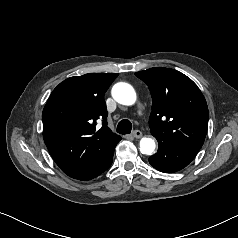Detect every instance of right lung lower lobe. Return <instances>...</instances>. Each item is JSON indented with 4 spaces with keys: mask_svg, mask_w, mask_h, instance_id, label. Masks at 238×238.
<instances>
[{
    "mask_svg": "<svg viewBox=\"0 0 238 238\" xmlns=\"http://www.w3.org/2000/svg\"><path fill=\"white\" fill-rule=\"evenodd\" d=\"M113 152L105 159V162L103 163L102 169L99 171V173H97L94 177L100 175L102 172H104L106 169H108L110 167V165L112 164V160H113ZM92 178V179H93Z\"/></svg>",
    "mask_w": 238,
    "mask_h": 238,
    "instance_id": "98d812e1",
    "label": "right lung lower lobe"
}]
</instances>
